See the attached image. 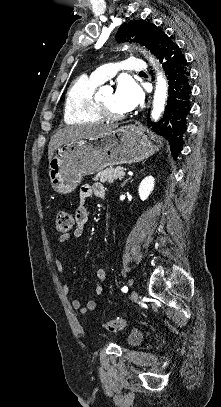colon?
<instances>
[{
  "mask_svg": "<svg viewBox=\"0 0 221 407\" xmlns=\"http://www.w3.org/2000/svg\"><path fill=\"white\" fill-rule=\"evenodd\" d=\"M73 226V218L72 216L66 211H60L56 217V230L59 233L66 234L68 233ZM126 325V321L123 317H118L108 321L104 328L107 332L113 333L122 328Z\"/></svg>",
  "mask_w": 221,
  "mask_h": 407,
  "instance_id": "obj_1",
  "label": "colon"
}]
</instances>
